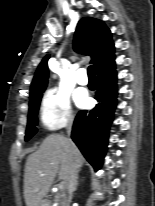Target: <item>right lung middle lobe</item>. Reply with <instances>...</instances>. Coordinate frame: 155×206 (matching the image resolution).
I'll list each match as a JSON object with an SVG mask.
<instances>
[{"label":"right lung middle lobe","mask_w":155,"mask_h":206,"mask_svg":"<svg viewBox=\"0 0 155 206\" xmlns=\"http://www.w3.org/2000/svg\"><path fill=\"white\" fill-rule=\"evenodd\" d=\"M43 92L44 91L40 92L39 94L33 97H30L28 125H27L26 135H25L26 141L29 140L37 131L35 128V125L37 124L36 115L38 113L39 104H40Z\"/></svg>","instance_id":"right-lung-middle-lobe-1"}]
</instances>
